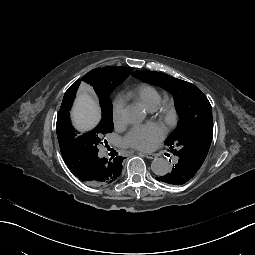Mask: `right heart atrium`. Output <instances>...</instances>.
Here are the masks:
<instances>
[{"mask_svg":"<svg viewBox=\"0 0 255 255\" xmlns=\"http://www.w3.org/2000/svg\"><path fill=\"white\" fill-rule=\"evenodd\" d=\"M112 119L116 126L124 123V102L122 99H116L112 106Z\"/></svg>","mask_w":255,"mask_h":255,"instance_id":"d8ad5b80","label":"right heart atrium"}]
</instances>
